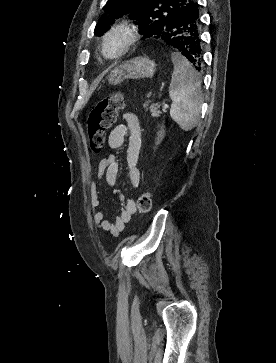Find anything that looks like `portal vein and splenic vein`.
<instances>
[{
	"mask_svg": "<svg viewBox=\"0 0 276 363\" xmlns=\"http://www.w3.org/2000/svg\"><path fill=\"white\" fill-rule=\"evenodd\" d=\"M168 107H169L168 104H164V106H163L164 109H167Z\"/></svg>",
	"mask_w": 276,
	"mask_h": 363,
	"instance_id": "18ae733b",
	"label": "portal vein and splenic vein"
}]
</instances>
